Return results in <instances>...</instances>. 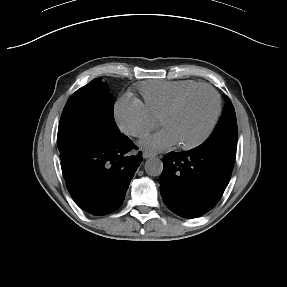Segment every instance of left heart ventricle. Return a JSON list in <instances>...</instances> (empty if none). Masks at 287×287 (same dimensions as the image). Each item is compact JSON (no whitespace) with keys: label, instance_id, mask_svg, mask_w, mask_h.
<instances>
[{"label":"left heart ventricle","instance_id":"left-heart-ventricle-1","mask_svg":"<svg viewBox=\"0 0 287 287\" xmlns=\"http://www.w3.org/2000/svg\"><path fill=\"white\" fill-rule=\"evenodd\" d=\"M213 111L212 95L202 90L189 97L173 116L163 122L162 126L174 135L178 144L189 143L205 132Z\"/></svg>","mask_w":287,"mask_h":287}]
</instances>
